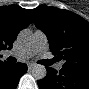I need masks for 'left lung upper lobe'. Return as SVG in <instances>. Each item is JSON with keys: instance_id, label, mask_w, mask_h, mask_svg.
I'll use <instances>...</instances> for the list:
<instances>
[{"instance_id": "obj_1", "label": "left lung upper lobe", "mask_w": 89, "mask_h": 89, "mask_svg": "<svg viewBox=\"0 0 89 89\" xmlns=\"http://www.w3.org/2000/svg\"><path fill=\"white\" fill-rule=\"evenodd\" d=\"M33 21L48 37L54 59L66 60L63 69L89 73V23L68 10L40 5Z\"/></svg>"}]
</instances>
